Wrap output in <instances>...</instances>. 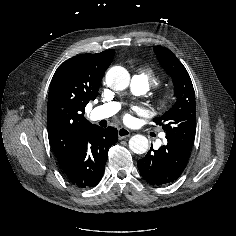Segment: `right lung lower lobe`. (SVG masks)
Listing matches in <instances>:
<instances>
[{
    "mask_svg": "<svg viewBox=\"0 0 236 236\" xmlns=\"http://www.w3.org/2000/svg\"><path fill=\"white\" fill-rule=\"evenodd\" d=\"M118 140L116 128L91 126L81 137L79 145L62 170L74 186L91 188L101 180L111 145Z\"/></svg>",
    "mask_w": 236,
    "mask_h": 236,
    "instance_id": "right-lung-lower-lobe-1",
    "label": "right lung lower lobe"
}]
</instances>
